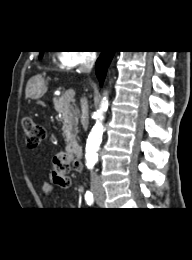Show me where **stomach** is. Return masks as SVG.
Segmentation results:
<instances>
[{
    "mask_svg": "<svg viewBox=\"0 0 192 260\" xmlns=\"http://www.w3.org/2000/svg\"><path fill=\"white\" fill-rule=\"evenodd\" d=\"M26 89L29 98L39 99L45 94L47 87L42 77L35 76L28 82Z\"/></svg>",
    "mask_w": 192,
    "mask_h": 260,
    "instance_id": "0dacf381",
    "label": "stomach"
}]
</instances>
